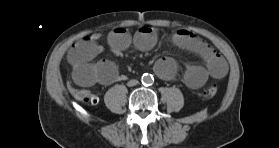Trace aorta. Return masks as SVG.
Masks as SVG:
<instances>
[{"mask_svg":"<svg viewBox=\"0 0 279 148\" xmlns=\"http://www.w3.org/2000/svg\"><path fill=\"white\" fill-rule=\"evenodd\" d=\"M153 76L152 75H150V74H144L143 76H142V83L143 84H146V85H150V84H152V82H153Z\"/></svg>","mask_w":279,"mask_h":148,"instance_id":"1","label":"aorta"}]
</instances>
